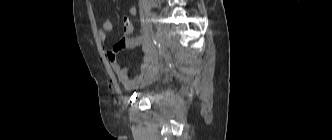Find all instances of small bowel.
Segmentation results:
<instances>
[{
  "instance_id": "small-bowel-1",
  "label": "small bowel",
  "mask_w": 332,
  "mask_h": 140,
  "mask_svg": "<svg viewBox=\"0 0 332 140\" xmlns=\"http://www.w3.org/2000/svg\"><path fill=\"white\" fill-rule=\"evenodd\" d=\"M137 13L136 7L129 8V14L135 16ZM113 30V23L110 20H105L101 23L98 29V36L102 42H105L107 36ZM140 47L143 51V61L141 64V72L135 77H131L129 69L121 67L117 61V55L121 51L130 50ZM108 61L116 75L118 82L127 90H134L140 86L148 83L154 72L153 54L149 40L146 37L124 36L117 42L112 49L107 52Z\"/></svg>"
}]
</instances>
